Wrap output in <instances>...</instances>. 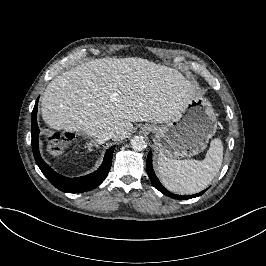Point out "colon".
<instances>
[{"mask_svg": "<svg viewBox=\"0 0 266 266\" xmlns=\"http://www.w3.org/2000/svg\"><path fill=\"white\" fill-rule=\"evenodd\" d=\"M46 146L51 152H61L65 147V138L56 132L47 137Z\"/></svg>", "mask_w": 266, "mask_h": 266, "instance_id": "5ec220e1", "label": "colon"}]
</instances>
